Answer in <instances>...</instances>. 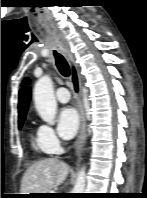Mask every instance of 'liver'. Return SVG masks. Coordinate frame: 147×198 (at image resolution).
Wrapping results in <instances>:
<instances>
[{
  "mask_svg": "<svg viewBox=\"0 0 147 198\" xmlns=\"http://www.w3.org/2000/svg\"><path fill=\"white\" fill-rule=\"evenodd\" d=\"M69 170L70 167L56 157L38 161L24 173L21 194L48 193L66 180Z\"/></svg>",
  "mask_w": 147,
  "mask_h": 198,
  "instance_id": "obj_1",
  "label": "liver"
}]
</instances>
